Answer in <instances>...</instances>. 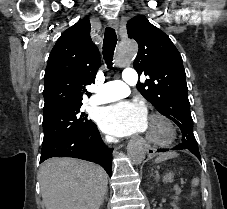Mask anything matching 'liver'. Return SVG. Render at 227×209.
<instances>
[{
    "label": "liver",
    "instance_id": "1",
    "mask_svg": "<svg viewBox=\"0 0 227 209\" xmlns=\"http://www.w3.org/2000/svg\"><path fill=\"white\" fill-rule=\"evenodd\" d=\"M108 175L99 165L78 159H48L39 169L46 209H100Z\"/></svg>",
    "mask_w": 227,
    "mask_h": 209
}]
</instances>
